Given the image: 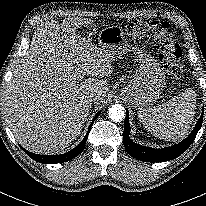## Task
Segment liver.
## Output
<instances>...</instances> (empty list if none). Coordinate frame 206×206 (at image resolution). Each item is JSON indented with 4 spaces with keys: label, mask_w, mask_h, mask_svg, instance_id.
Returning a JSON list of instances; mask_svg holds the SVG:
<instances>
[{
    "label": "liver",
    "mask_w": 206,
    "mask_h": 206,
    "mask_svg": "<svg viewBox=\"0 0 206 206\" xmlns=\"http://www.w3.org/2000/svg\"><path fill=\"white\" fill-rule=\"evenodd\" d=\"M92 21L78 17L46 20L7 86L4 111L18 140L37 154H56L79 136L89 113L90 93L101 105L110 85L103 79L113 71L104 49L77 35ZM91 78L82 79L76 70Z\"/></svg>",
    "instance_id": "obj_1"
}]
</instances>
